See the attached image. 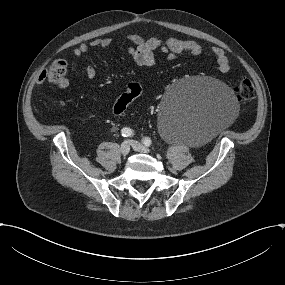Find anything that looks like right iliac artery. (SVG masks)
<instances>
[{"mask_svg":"<svg viewBox=\"0 0 285 285\" xmlns=\"http://www.w3.org/2000/svg\"><path fill=\"white\" fill-rule=\"evenodd\" d=\"M121 135H122L123 137H129V136L133 135V130L130 129V128L125 127V128H123V129L121 130Z\"/></svg>","mask_w":285,"mask_h":285,"instance_id":"right-iliac-artery-1","label":"right iliac artery"}]
</instances>
